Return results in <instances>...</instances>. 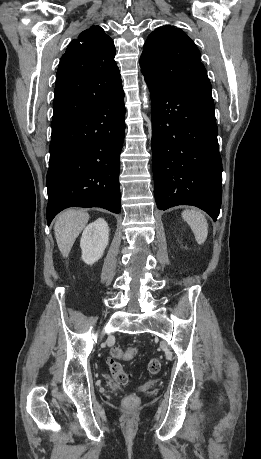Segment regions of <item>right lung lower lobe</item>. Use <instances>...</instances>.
Masks as SVG:
<instances>
[{
    "label": "right lung lower lobe",
    "mask_w": 261,
    "mask_h": 459,
    "mask_svg": "<svg viewBox=\"0 0 261 459\" xmlns=\"http://www.w3.org/2000/svg\"><path fill=\"white\" fill-rule=\"evenodd\" d=\"M124 91L52 129L47 173L48 225L65 208L120 213L119 157L125 133Z\"/></svg>",
    "instance_id": "obj_1"
}]
</instances>
